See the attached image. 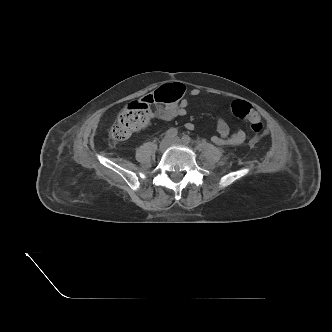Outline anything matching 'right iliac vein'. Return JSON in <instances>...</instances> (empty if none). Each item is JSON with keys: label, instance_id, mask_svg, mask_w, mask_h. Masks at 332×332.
<instances>
[{"label": "right iliac vein", "instance_id": "63e3f726", "mask_svg": "<svg viewBox=\"0 0 332 332\" xmlns=\"http://www.w3.org/2000/svg\"><path fill=\"white\" fill-rule=\"evenodd\" d=\"M169 145H170V139L164 138L159 145V151L164 152Z\"/></svg>", "mask_w": 332, "mask_h": 332}]
</instances>
